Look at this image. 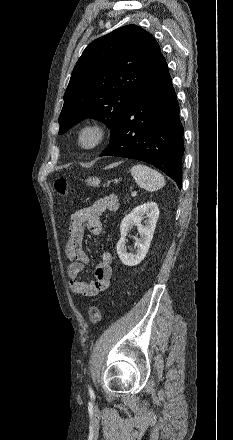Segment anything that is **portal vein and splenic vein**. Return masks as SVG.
<instances>
[{
    "label": "portal vein and splenic vein",
    "mask_w": 233,
    "mask_h": 440,
    "mask_svg": "<svg viewBox=\"0 0 233 440\" xmlns=\"http://www.w3.org/2000/svg\"><path fill=\"white\" fill-rule=\"evenodd\" d=\"M136 195H137V192H136V191H134V192L131 193V196H132V197H135Z\"/></svg>",
    "instance_id": "18ae733b"
}]
</instances>
